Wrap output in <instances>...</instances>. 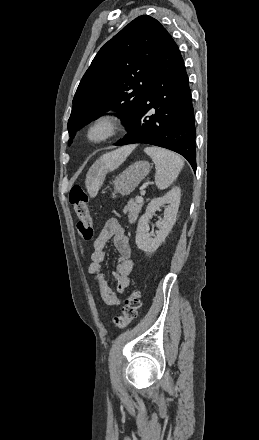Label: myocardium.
Here are the masks:
<instances>
[{
	"label": "myocardium",
	"instance_id": "myocardium-1",
	"mask_svg": "<svg viewBox=\"0 0 259 440\" xmlns=\"http://www.w3.org/2000/svg\"><path fill=\"white\" fill-rule=\"evenodd\" d=\"M97 128H103L104 133L93 136ZM124 128L123 119L116 109H106L94 116L84 129L85 140L93 145L105 143L118 136Z\"/></svg>",
	"mask_w": 259,
	"mask_h": 440
}]
</instances>
